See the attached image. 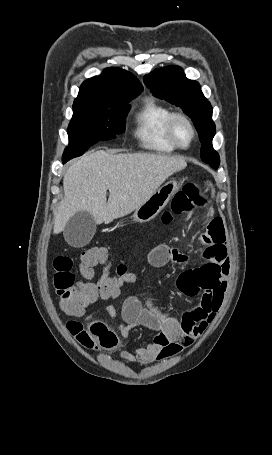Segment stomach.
<instances>
[{"label":"stomach","instance_id":"1","mask_svg":"<svg viewBox=\"0 0 272 455\" xmlns=\"http://www.w3.org/2000/svg\"><path fill=\"white\" fill-rule=\"evenodd\" d=\"M178 187L179 183L176 178L169 180L157 189L144 204L135 210L133 214L134 220L144 223L154 219L169 203Z\"/></svg>","mask_w":272,"mask_h":455}]
</instances>
